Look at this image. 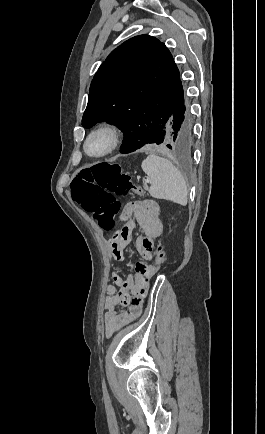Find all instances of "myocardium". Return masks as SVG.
I'll list each match as a JSON object with an SVG mask.
<instances>
[{
  "instance_id": "myocardium-1",
  "label": "myocardium",
  "mask_w": 265,
  "mask_h": 434,
  "mask_svg": "<svg viewBox=\"0 0 265 434\" xmlns=\"http://www.w3.org/2000/svg\"><path fill=\"white\" fill-rule=\"evenodd\" d=\"M96 138L104 139L105 147L97 153H91L88 150V146L90 142ZM120 140L121 133L118 126L113 123H104L92 129L88 133L82 142L81 150L85 157L93 161H98L112 154L119 146Z\"/></svg>"
}]
</instances>
